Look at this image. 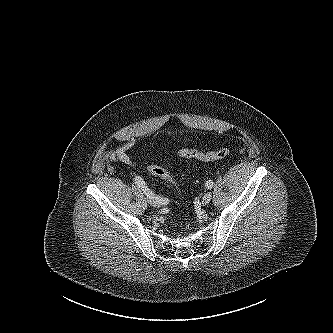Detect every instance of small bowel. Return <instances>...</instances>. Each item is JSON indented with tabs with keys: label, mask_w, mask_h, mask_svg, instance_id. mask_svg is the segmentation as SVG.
<instances>
[{
	"label": "small bowel",
	"mask_w": 333,
	"mask_h": 333,
	"mask_svg": "<svg viewBox=\"0 0 333 333\" xmlns=\"http://www.w3.org/2000/svg\"><path fill=\"white\" fill-rule=\"evenodd\" d=\"M135 140L129 139L122 142L116 148L110 150L108 158L112 162H122L130 166H136L137 163L128 155V151L134 146Z\"/></svg>",
	"instance_id": "obj_1"
}]
</instances>
